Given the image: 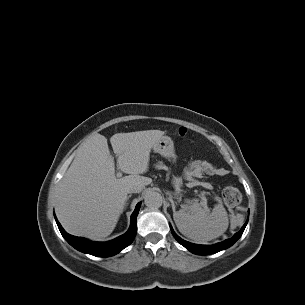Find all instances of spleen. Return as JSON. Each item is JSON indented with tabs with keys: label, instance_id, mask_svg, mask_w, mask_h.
<instances>
[{
	"label": "spleen",
	"instance_id": "spleen-1",
	"mask_svg": "<svg viewBox=\"0 0 305 305\" xmlns=\"http://www.w3.org/2000/svg\"><path fill=\"white\" fill-rule=\"evenodd\" d=\"M178 230L189 239L206 243L221 236L228 228L227 212L221 203L212 212L193 203L190 210L181 209L173 213Z\"/></svg>",
	"mask_w": 305,
	"mask_h": 305
}]
</instances>
